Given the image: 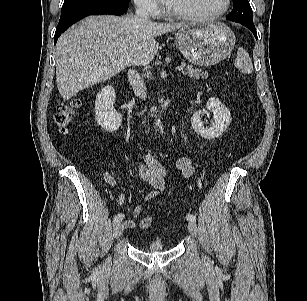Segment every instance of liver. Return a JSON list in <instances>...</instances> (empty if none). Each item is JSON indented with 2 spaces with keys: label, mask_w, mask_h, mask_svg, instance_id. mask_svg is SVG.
Returning <instances> with one entry per match:
<instances>
[{
  "label": "liver",
  "mask_w": 307,
  "mask_h": 301,
  "mask_svg": "<svg viewBox=\"0 0 307 301\" xmlns=\"http://www.w3.org/2000/svg\"><path fill=\"white\" fill-rule=\"evenodd\" d=\"M184 25L152 22L133 14L83 19L56 44L59 93L69 100L79 91L112 78L128 65H147L158 51L155 37Z\"/></svg>",
  "instance_id": "liver-1"
}]
</instances>
